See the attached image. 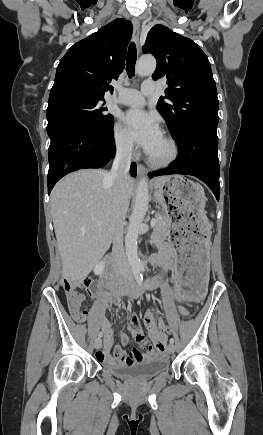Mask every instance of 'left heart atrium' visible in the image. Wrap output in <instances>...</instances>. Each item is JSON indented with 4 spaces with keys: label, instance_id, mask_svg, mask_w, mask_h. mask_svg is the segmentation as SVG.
<instances>
[{
    "label": "left heart atrium",
    "instance_id": "left-heart-atrium-1",
    "mask_svg": "<svg viewBox=\"0 0 263 435\" xmlns=\"http://www.w3.org/2000/svg\"><path fill=\"white\" fill-rule=\"evenodd\" d=\"M129 137L150 154L162 139V132L157 119L139 109L129 110L123 117Z\"/></svg>",
    "mask_w": 263,
    "mask_h": 435
}]
</instances>
